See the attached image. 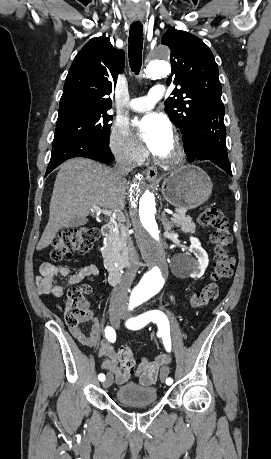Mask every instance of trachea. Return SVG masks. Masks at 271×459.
<instances>
[{"mask_svg": "<svg viewBox=\"0 0 271 459\" xmlns=\"http://www.w3.org/2000/svg\"><path fill=\"white\" fill-rule=\"evenodd\" d=\"M143 48V25H130L128 58L132 72L138 74L141 69Z\"/></svg>", "mask_w": 271, "mask_h": 459, "instance_id": "obj_1", "label": "trachea"}]
</instances>
